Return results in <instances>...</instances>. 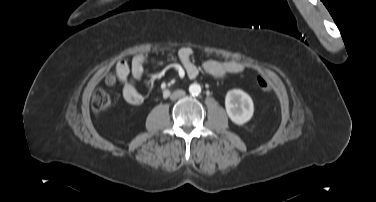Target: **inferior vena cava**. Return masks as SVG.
Returning <instances> with one entry per match:
<instances>
[{
    "instance_id": "602c4592",
    "label": "inferior vena cava",
    "mask_w": 376,
    "mask_h": 202,
    "mask_svg": "<svg viewBox=\"0 0 376 202\" xmlns=\"http://www.w3.org/2000/svg\"><path fill=\"white\" fill-rule=\"evenodd\" d=\"M185 95V91L183 90H178L176 92H174L172 95H171V99L174 100V99H177V98H180L182 96Z\"/></svg>"
}]
</instances>
